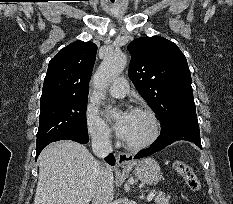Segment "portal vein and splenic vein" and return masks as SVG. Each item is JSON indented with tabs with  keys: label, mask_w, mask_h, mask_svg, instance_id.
<instances>
[{
	"label": "portal vein and splenic vein",
	"mask_w": 233,
	"mask_h": 204,
	"mask_svg": "<svg viewBox=\"0 0 233 204\" xmlns=\"http://www.w3.org/2000/svg\"><path fill=\"white\" fill-rule=\"evenodd\" d=\"M155 194L154 193H150L148 196H147V200L148 201H151L153 198H154Z\"/></svg>",
	"instance_id": "18ae733b"
}]
</instances>
